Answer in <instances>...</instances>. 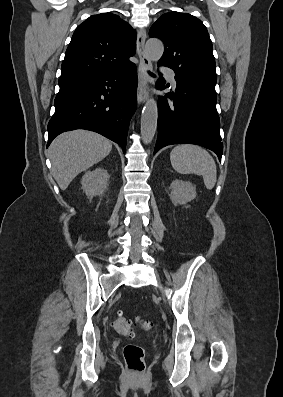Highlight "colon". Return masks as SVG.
<instances>
[{
	"instance_id": "obj_1",
	"label": "colon",
	"mask_w": 283,
	"mask_h": 397,
	"mask_svg": "<svg viewBox=\"0 0 283 397\" xmlns=\"http://www.w3.org/2000/svg\"><path fill=\"white\" fill-rule=\"evenodd\" d=\"M113 326L120 334L131 336L132 329L134 326L141 327L147 334H150L152 324L140 319H136L134 322L128 320L123 316L121 312H118L114 321ZM124 360L129 372L135 375L143 373L145 369L144 349L136 344H127L123 350Z\"/></svg>"
}]
</instances>
